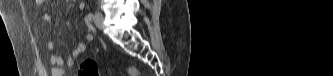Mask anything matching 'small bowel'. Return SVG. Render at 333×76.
I'll use <instances>...</instances> for the list:
<instances>
[{
	"label": "small bowel",
	"mask_w": 333,
	"mask_h": 76,
	"mask_svg": "<svg viewBox=\"0 0 333 76\" xmlns=\"http://www.w3.org/2000/svg\"><path fill=\"white\" fill-rule=\"evenodd\" d=\"M47 1L46 0H37L36 3L38 5H44ZM79 9L83 10L84 9V3H81L79 5ZM52 16L48 13H45L43 15V20L45 22H51L52 21ZM85 42H80L76 45V47L74 48V50L70 53V55L66 58L63 59L61 56L55 54L53 52V43L50 42L49 43V50L51 52L50 55V63L52 65V75L53 76H62L64 74V70L63 67L67 66V67H71L74 65L75 61L79 58V56L81 54H83L86 49H87V45L86 42H91L93 40V35L92 34H87L84 37Z\"/></svg>",
	"instance_id": "obj_1"
}]
</instances>
